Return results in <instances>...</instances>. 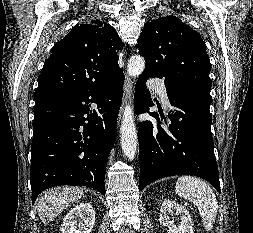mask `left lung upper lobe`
Instances as JSON below:
<instances>
[{"label": "left lung upper lobe", "mask_w": 253, "mask_h": 233, "mask_svg": "<svg viewBox=\"0 0 253 233\" xmlns=\"http://www.w3.org/2000/svg\"><path fill=\"white\" fill-rule=\"evenodd\" d=\"M139 53L146 61L143 74L164 80L167 95H210L211 70L201 36L175 16L146 22L138 39Z\"/></svg>", "instance_id": "left-lung-upper-lobe-1"}]
</instances>
